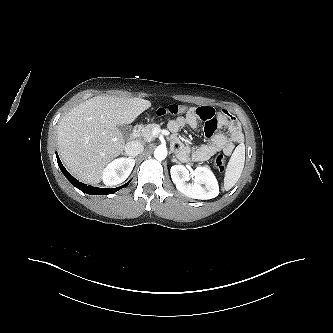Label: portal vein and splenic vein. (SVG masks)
Here are the masks:
<instances>
[{
	"label": "portal vein and splenic vein",
	"mask_w": 333,
	"mask_h": 333,
	"mask_svg": "<svg viewBox=\"0 0 333 333\" xmlns=\"http://www.w3.org/2000/svg\"><path fill=\"white\" fill-rule=\"evenodd\" d=\"M160 132V129L159 128H155L154 130H153V135H156L157 133H159Z\"/></svg>",
	"instance_id": "18ae733b"
}]
</instances>
